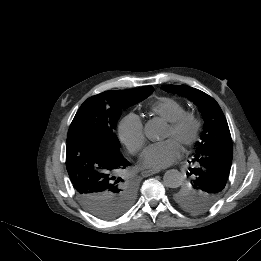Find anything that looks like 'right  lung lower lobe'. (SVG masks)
<instances>
[{
  "label": "right lung lower lobe",
  "instance_id": "1",
  "mask_svg": "<svg viewBox=\"0 0 261 261\" xmlns=\"http://www.w3.org/2000/svg\"><path fill=\"white\" fill-rule=\"evenodd\" d=\"M130 163L117 150L109 149L86 134L68 136L66 166L78 196L104 184H110Z\"/></svg>",
  "mask_w": 261,
  "mask_h": 261
}]
</instances>
